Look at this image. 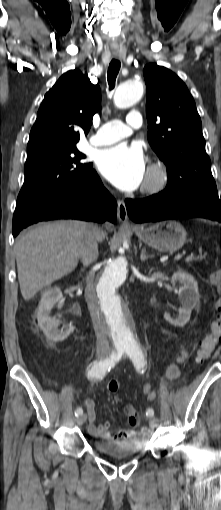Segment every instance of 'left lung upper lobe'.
Masks as SVG:
<instances>
[{
    "label": "left lung upper lobe",
    "instance_id": "1",
    "mask_svg": "<svg viewBox=\"0 0 221 510\" xmlns=\"http://www.w3.org/2000/svg\"><path fill=\"white\" fill-rule=\"evenodd\" d=\"M148 141L167 166L164 196H217L211 162L205 151L202 123L193 97L169 69L151 63L143 70Z\"/></svg>",
    "mask_w": 221,
    "mask_h": 510
}]
</instances>
